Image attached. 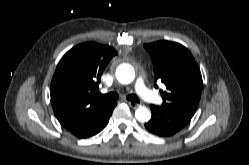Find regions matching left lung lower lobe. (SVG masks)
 Wrapping results in <instances>:
<instances>
[{"label": "left lung lower lobe", "instance_id": "0a47b994", "mask_svg": "<svg viewBox=\"0 0 249 165\" xmlns=\"http://www.w3.org/2000/svg\"><path fill=\"white\" fill-rule=\"evenodd\" d=\"M152 118L145 124L146 129L158 136L169 137L184 128L191 120L185 114L150 105Z\"/></svg>", "mask_w": 249, "mask_h": 165}]
</instances>
